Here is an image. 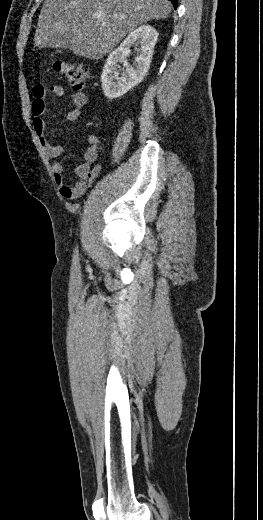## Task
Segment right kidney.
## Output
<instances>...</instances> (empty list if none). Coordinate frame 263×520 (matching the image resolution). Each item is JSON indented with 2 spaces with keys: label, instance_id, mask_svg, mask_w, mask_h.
<instances>
[{
  "label": "right kidney",
  "instance_id": "1",
  "mask_svg": "<svg viewBox=\"0 0 263 520\" xmlns=\"http://www.w3.org/2000/svg\"><path fill=\"white\" fill-rule=\"evenodd\" d=\"M157 38L158 32L152 26L142 25L110 53L101 75L102 89L108 99L113 100L123 96L144 79L150 68ZM138 45L140 49L135 57V67L126 66L122 77H119L118 63L127 58L131 47Z\"/></svg>",
  "mask_w": 263,
  "mask_h": 520
}]
</instances>
